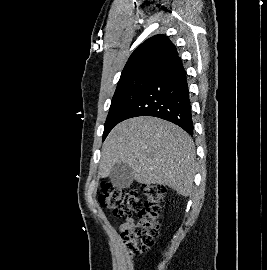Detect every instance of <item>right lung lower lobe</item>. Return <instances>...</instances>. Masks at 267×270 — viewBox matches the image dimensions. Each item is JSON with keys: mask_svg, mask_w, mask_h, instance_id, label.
Returning <instances> with one entry per match:
<instances>
[{"mask_svg": "<svg viewBox=\"0 0 267 270\" xmlns=\"http://www.w3.org/2000/svg\"><path fill=\"white\" fill-rule=\"evenodd\" d=\"M137 116L158 117L193 134L188 83L179 56L155 74L147 90L124 120Z\"/></svg>", "mask_w": 267, "mask_h": 270, "instance_id": "right-lung-lower-lobe-1", "label": "right lung lower lobe"}]
</instances>
